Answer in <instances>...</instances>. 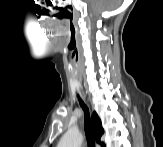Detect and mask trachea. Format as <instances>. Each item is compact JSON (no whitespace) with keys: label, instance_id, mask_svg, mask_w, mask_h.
Masks as SVG:
<instances>
[{"label":"trachea","instance_id":"trachea-1","mask_svg":"<svg viewBox=\"0 0 163 147\" xmlns=\"http://www.w3.org/2000/svg\"><path fill=\"white\" fill-rule=\"evenodd\" d=\"M78 99L84 111V129H85V135H86L88 146L95 147V140H94L93 130L91 126L89 110L85 105V103L83 102V100L79 97V95H78Z\"/></svg>","mask_w":163,"mask_h":147}]
</instances>
